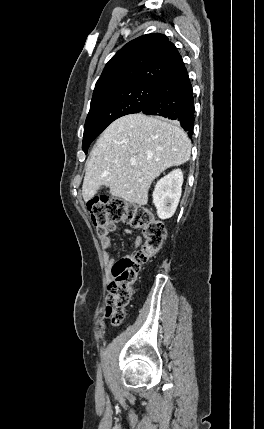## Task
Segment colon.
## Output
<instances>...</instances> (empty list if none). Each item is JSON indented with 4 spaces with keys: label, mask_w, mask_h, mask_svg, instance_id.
Listing matches in <instances>:
<instances>
[{
    "label": "colon",
    "mask_w": 264,
    "mask_h": 429,
    "mask_svg": "<svg viewBox=\"0 0 264 429\" xmlns=\"http://www.w3.org/2000/svg\"><path fill=\"white\" fill-rule=\"evenodd\" d=\"M88 209L98 233H101L109 222L124 221L141 229L145 240L140 249L121 258L111 268L112 281L107 289L105 312L113 325H120L141 268L159 251L166 230L163 223L154 219L149 210L130 205L118 198H96L89 203Z\"/></svg>",
    "instance_id": "5ec220e1"
}]
</instances>
